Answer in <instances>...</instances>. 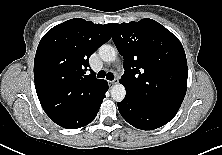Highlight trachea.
Returning <instances> with one entry per match:
<instances>
[{
	"label": "trachea",
	"instance_id": "obj_1",
	"mask_svg": "<svg viewBox=\"0 0 222 155\" xmlns=\"http://www.w3.org/2000/svg\"><path fill=\"white\" fill-rule=\"evenodd\" d=\"M98 78H106L107 80H113L114 79V75L111 72L106 73L104 70H101L98 72L97 74Z\"/></svg>",
	"mask_w": 222,
	"mask_h": 155
}]
</instances>
